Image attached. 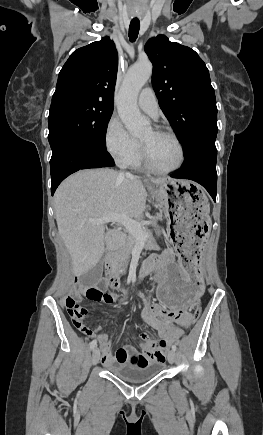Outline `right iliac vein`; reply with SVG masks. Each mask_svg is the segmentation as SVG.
<instances>
[{"mask_svg":"<svg viewBox=\"0 0 263 435\" xmlns=\"http://www.w3.org/2000/svg\"><path fill=\"white\" fill-rule=\"evenodd\" d=\"M100 351L98 348H94L92 352V364L96 365L99 362Z\"/></svg>","mask_w":263,"mask_h":435,"instance_id":"right-iliac-vein-1","label":"right iliac vein"}]
</instances>
